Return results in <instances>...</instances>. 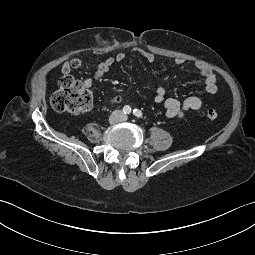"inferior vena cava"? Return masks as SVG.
<instances>
[{
    "label": "inferior vena cava",
    "instance_id": "obj_1",
    "mask_svg": "<svg viewBox=\"0 0 255 255\" xmlns=\"http://www.w3.org/2000/svg\"><path fill=\"white\" fill-rule=\"evenodd\" d=\"M114 114H120V115H122V112H121L120 110H116V111H114ZM117 121H120V120L117 119Z\"/></svg>",
    "mask_w": 255,
    "mask_h": 255
}]
</instances>
